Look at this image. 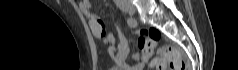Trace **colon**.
Wrapping results in <instances>:
<instances>
[{"instance_id":"1","label":"colon","mask_w":238,"mask_h":70,"mask_svg":"<svg viewBox=\"0 0 238 70\" xmlns=\"http://www.w3.org/2000/svg\"><path fill=\"white\" fill-rule=\"evenodd\" d=\"M160 38V32L154 28L141 30L140 44L147 56H151L156 42ZM151 67L156 70H165L167 65L170 70H186L179 51L172 46H162L158 49V56L152 59Z\"/></svg>"}]
</instances>
